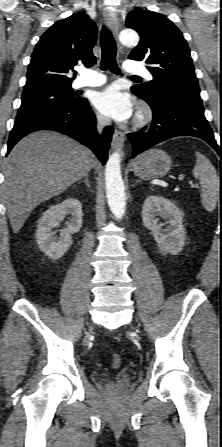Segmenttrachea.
Listing matches in <instances>:
<instances>
[{
  "label": "trachea",
  "mask_w": 222,
  "mask_h": 447,
  "mask_svg": "<svg viewBox=\"0 0 222 447\" xmlns=\"http://www.w3.org/2000/svg\"><path fill=\"white\" fill-rule=\"evenodd\" d=\"M102 49L101 70L110 69L112 73L119 75L121 73L116 63V43L111 31L103 27L100 35ZM133 79H141L139 76H131Z\"/></svg>",
  "instance_id": "3493384b"
}]
</instances>
